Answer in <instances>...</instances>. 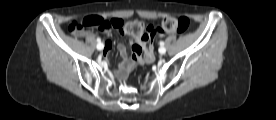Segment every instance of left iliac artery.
<instances>
[{"instance_id":"left-iliac-artery-1","label":"left iliac artery","mask_w":276,"mask_h":120,"mask_svg":"<svg viewBox=\"0 0 276 120\" xmlns=\"http://www.w3.org/2000/svg\"><path fill=\"white\" fill-rule=\"evenodd\" d=\"M160 46H161V47L164 46V42H163V41L160 42Z\"/></svg>"}]
</instances>
